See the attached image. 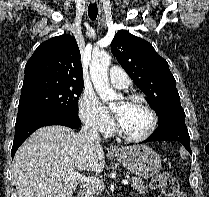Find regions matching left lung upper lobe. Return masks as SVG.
Instances as JSON below:
<instances>
[{
    "label": "left lung upper lobe",
    "mask_w": 209,
    "mask_h": 197,
    "mask_svg": "<svg viewBox=\"0 0 209 197\" xmlns=\"http://www.w3.org/2000/svg\"><path fill=\"white\" fill-rule=\"evenodd\" d=\"M111 51L148 97L147 102L155 110L158 123L169 117L185 115L168 63L149 42L120 30L112 40Z\"/></svg>",
    "instance_id": "obj_1"
}]
</instances>
